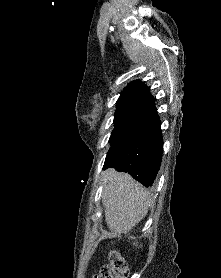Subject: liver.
<instances>
[{"mask_svg": "<svg viewBox=\"0 0 221 278\" xmlns=\"http://www.w3.org/2000/svg\"><path fill=\"white\" fill-rule=\"evenodd\" d=\"M102 203L105 221L114 234H126L148 213L149 192L129 174L113 169L104 172Z\"/></svg>", "mask_w": 221, "mask_h": 278, "instance_id": "liver-1", "label": "liver"}]
</instances>
